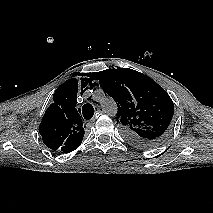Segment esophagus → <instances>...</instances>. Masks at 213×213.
I'll use <instances>...</instances> for the list:
<instances>
[{"label":"esophagus","mask_w":213,"mask_h":213,"mask_svg":"<svg viewBox=\"0 0 213 213\" xmlns=\"http://www.w3.org/2000/svg\"><path fill=\"white\" fill-rule=\"evenodd\" d=\"M105 111L101 106L96 107V116L90 121V123L94 122L97 119V115L104 114Z\"/></svg>","instance_id":"obj_1"}]
</instances>
